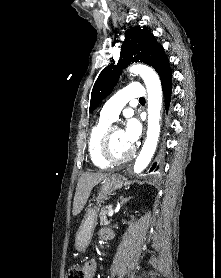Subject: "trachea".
<instances>
[{
  "instance_id": "3493384b",
  "label": "trachea",
  "mask_w": 221,
  "mask_h": 278,
  "mask_svg": "<svg viewBox=\"0 0 221 278\" xmlns=\"http://www.w3.org/2000/svg\"><path fill=\"white\" fill-rule=\"evenodd\" d=\"M139 101H145V98H140Z\"/></svg>"
}]
</instances>
